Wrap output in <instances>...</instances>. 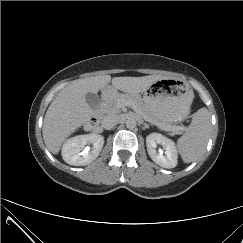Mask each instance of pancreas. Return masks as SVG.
<instances>
[{"mask_svg":"<svg viewBox=\"0 0 243 243\" xmlns=\"http://www.w3.org/2000/svg\"><path fill=\"white\" fill-rule=\"evenodd\" d=\"M130 104L135 111L140 114L143 118L150 119L160 125L163 129L172 128V125L166 124L159 120L156 116L150 113L145 107L143 101L139 97L131 95L118 94L108 99L104 105L100 108L102 114H119L121 112L122 103Z\"/></svg>","mask_w":243,"mask_h":243,"instance_id":"1","label":"pancreas"}]
</instances>
